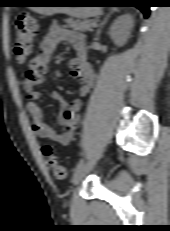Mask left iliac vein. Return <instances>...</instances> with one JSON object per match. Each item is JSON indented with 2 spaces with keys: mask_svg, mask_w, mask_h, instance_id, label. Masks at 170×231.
Masks as SVG:
<instances>
[{
  "mask_svg": "<svg viewBox=\"0 0 170 231\" xmlns=\"http://www.w3.org/2000/svg\"><path fill=\"white\" fill-rule=\"evenodd\" d=\"M94 165L95 161H92L90 163L83 164L81 167L77 168L72 177V184L74 186L79 185L86 177V175L93 169Z\"/></svg>",
  "mask_w": 170,
  "mask_h": 231,
  "instance_id": "1",
  "label": "left iliac vein"
}]
</instances>
